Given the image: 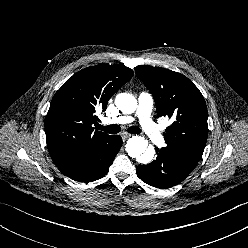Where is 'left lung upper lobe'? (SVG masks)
Here are the masks:
<instances>
[{
    "mask_svg": "<svg viewBox=\"0 0 248 248\" xmlns=\"http://www.w3.org/2000/svg\"><path fill=\"white\" fill-rule=\"evenodd\" d=\"M135 72L153 95L157 115L173 120L163 134L167 146L160 150L193 170L208 137V112L201 92L187 77L165 68L137 66Z\"/></svg>",
    "mask_w": 248,
    "mask_h": 248,
    "instance_id": "1",
    "label": "left lung upper lobe"
}]
</instances>
